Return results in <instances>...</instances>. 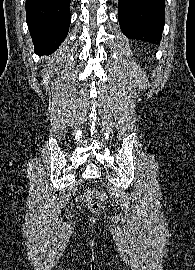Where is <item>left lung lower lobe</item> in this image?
<instances>
[{
    "label": "left lung lower lobe",
    "mask_w": 195,
    "mask_h": 270,
    "mask_svg": "<svg viewBox=\"0 0 195 270\" xmlns=\"http://www.w3.org/2000/svg\"><path fill=\"white\" fill-rule=\"evenodd\" d=\"M164 0H119L118 18L130 39L160 44L165 24Z\"/></svg>",
    "instance_id": "obj_1"
}]
</instances>
